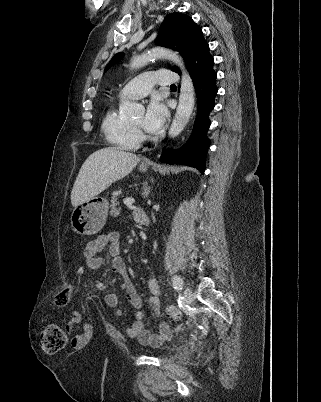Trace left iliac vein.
<instances>
[{"instance_id": "obj_1", "label": "left iliac vein", "mask_w": 321, "mask_h": 402, "mask_svg": "<svg viewBox=\"0 0 321 402\" xmlns=\"http://www.w3.org/2000/svg\"><path fill=\"white\" fill-rule=\"evenodd\" d=\"M183 294H184L185 302L187 304H191L193 302L194 298H195L193 290L191 288H189V287H185L184 291H183Z\"/></svg>"}]
</instances>
